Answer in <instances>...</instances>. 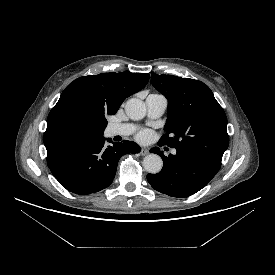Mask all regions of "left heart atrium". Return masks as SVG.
Here are the masks:
<instances>
[{"instance_id": "left-heart-atrium-1", "label": "left heart atrium", "mask_w": 275, "mask_h": 275, "mask_svg": "<svg viewBox=\"0 0 275 275\" xmlns=\"http://www.w3.org/2000/svg\"><path fill=\"white\" fill-rule=\"evenodd\" d=\"M150 137V133L149 131H142L139 133L138 135V138L141 140V141H146L147 139H149Z\"/></svg>"}]
</instances>
